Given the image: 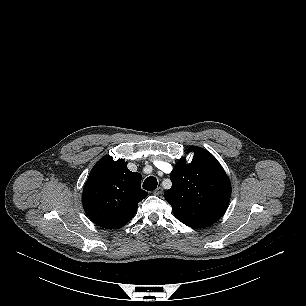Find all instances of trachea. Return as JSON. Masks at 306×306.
<instances>
[{
    "label": "trachea",
    "mask_w": 306,
    "mask_h": 306,
    "mask_svg": "<svg viewBox=\"0 0 306 306\" xmlns=\"http://www.w3.org/2000/svg\"><path fill=\"white\" fill-rule=\"evenodd\" d=\"M158 182L155 177H147L143 183V188L148 191H153L157 188Z\"/></svg>",
    "instance_id": "obj_1"
}]
</instances>
